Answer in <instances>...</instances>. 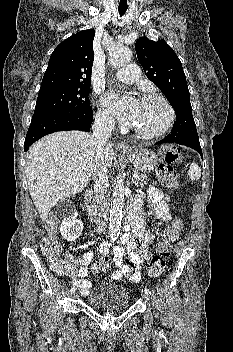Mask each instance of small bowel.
I'll use <instances>...</instances> for the list:
<instances>
[{
  "instance_id": "1",
  "label": "small bowel",
  "mask_w": 233,
  "mask_h": 352,
  "mask_svg": "<svg viewBox=\"0 0 233 352\" xmlns=\"http://www.w3.org/2000/svg\"><path fill=\"white\" fill-rule=\"evenodd\" d=\"M148 195L157 217L162 222H168L171 219L168 196L155 187L149 189ZM124 230L120 243L112 250L117 269L111 274V278L113 280L127 278L132 283H137L141 279L143 263L152 258L149 244L155 239L158 228L146 229L144 217L136 208L135 213L127 218ZM101 252L108 254L110 243L104 242ZM92 260L93 252L87 251L80 260L69 257L65 261L68 266L65 274L70 277L82 296H87L92 287L91 282L86 279ZM74 264H79L80 267L76 268Z\"/></svg>"
}]
</instances>
